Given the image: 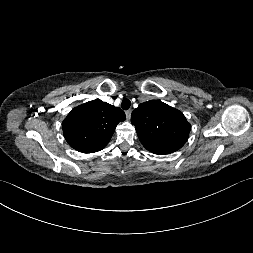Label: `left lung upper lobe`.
<instances>
[{"instance_id":"obj_1","label":"left lung upper lobe","mask_w":253,"mask_h":253,"mask_svg":"<svg viewBox=\"0 0 253 253\" xmlns=\"http://www.w3.org/2000/svg\"><path fill=\"white\" fill-rule=\"evenodd\" d=\"M131 122L142 145L160 155L180 149L191 129L182 112L160 100L141 103L132 112Z\"/></svg>"}]
</instances>
